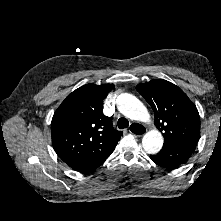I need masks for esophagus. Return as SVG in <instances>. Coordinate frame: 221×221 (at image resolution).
<instances>
[{
  "mask_svg": "<svg viewBox=\"0 0 221 221\" xmlns=\"http://www.w3.org/2000/svg\"><path fill=\"white\" fill-rule=\"evenodd\" d=\"M129 132L136 137H142L146 133V128L138 123H132Z\"/></svg>",
  "mask_w": 221,
  "mask_h": 221,
  "instance_id": "1",
  "label": "esophagus"
}]
</instances>
